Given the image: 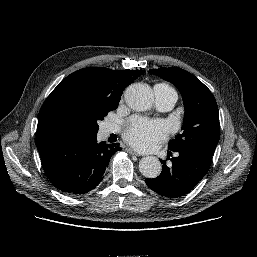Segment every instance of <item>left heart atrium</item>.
<instances>
[{"mask_svg": "<svg viewBox=\"0 0 257 257\" xmlns=\"http://www.w3.org/2000/svg\"><path fill=\"white\" fill-rule=\"evenodd\" d=\"M124 138L138 150H152L167 138V126L162 121L133 117L128 122Z\"/></svg>", "mask_w": 257, "mask_h": 257, "instance_id": "39dd6f15", "label": "left heart atrium"}]
</instances>
